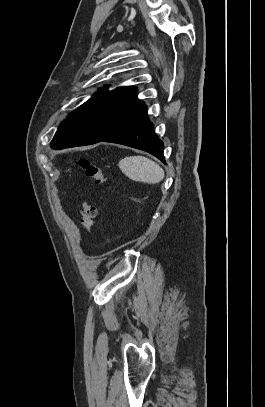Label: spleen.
<instances>
[{
	"label": "spleen",
	"instance_id": "3e777b00",
	"mask_svg": "<svg viewBox=\"0 0 265 407\" xmlns=\"http://www.w3.org/2000/svg\"><path fill=\"white\" fill-rule=\"evenodd\" d=\"M119 168L130 179L148 184L163 180L164 170L151 159L144 156H129L119 161Z\"/></svg>",
	"mask_w": 265,
	"mask_h": 407
}]
</instances>
